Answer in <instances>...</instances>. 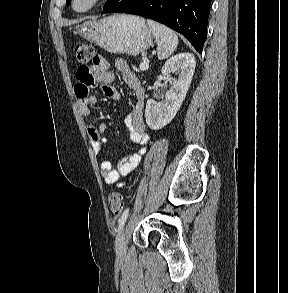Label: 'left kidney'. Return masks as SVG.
I'll return each instance as SVG.
<instances>
[{
	"instance_id": "5707ae66",
	"label": "left kidney",
	"mask_w": 288,
	"mask_h": 293,
	"mask_svg": "<svg viewBox=\"0 0 288 293\" xmlns=\"http://www.w3.org/2000/svg\"><path fill=\"white\" fill-rule=\"evenodd\" d=\"M195 66V58L190 53L175 55L164 64L161 73L165 79L170 80L171 86L162 101H147L145 118L151 129H161L175 117L190 87ZM174 72H177L178 78L171 77Z\"/></svg>"
}]
</instances>
